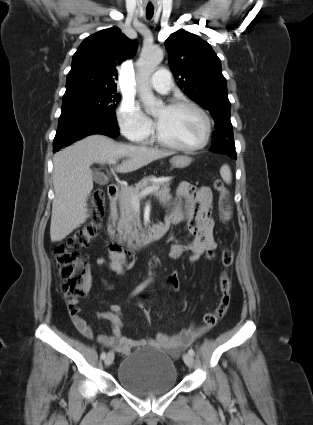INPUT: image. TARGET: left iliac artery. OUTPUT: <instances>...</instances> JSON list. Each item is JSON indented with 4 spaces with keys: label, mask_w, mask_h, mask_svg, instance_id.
Returning a JSON list of instances; mask_svg holds the SVG:
<instances>
[{
    "label": "left iliac artery",
    "mask_w": 313,
    "mask_h": 425,
    "mask_svg": "<svg viewBox=\"0 0 313 425\" xmlns=\"http://www.w3.org/2000/svg\"><path fill=\"white\" fill-rule=\"evenodd\" d=\"M188 354H190V355H192V356H193V355L195 354V352H194V350H193V349H189V350H188Z\"/></svg>",
    "instance_id": "left-iliac-artery-1"
}]
</instances>
